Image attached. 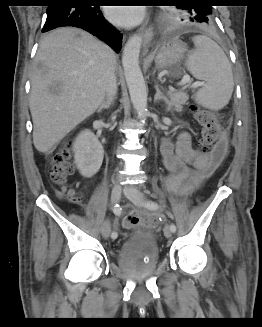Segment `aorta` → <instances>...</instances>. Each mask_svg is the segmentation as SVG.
Returning <instances> with one entry per match:
<instances>
[{"label":"aorta","instance_id":"obj_1","mask_svg":"<svg viewBox=\"0 0 262 327\" xmlns=\"http://www.w3.org/2000/svg\"><path fill=\"white\" fill-rule=\"evenodd\" d=\"M141 44L142 38L138 35L128 39L123 49L122 65L133 107L139 119H145L148 109L146 85L139 66Z\"/></svg>","mask_w":262,"mask_h":327}]
</instances>
